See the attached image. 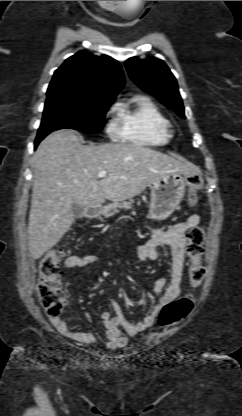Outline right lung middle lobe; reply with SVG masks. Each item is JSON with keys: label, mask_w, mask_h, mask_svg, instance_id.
<instances>
[{"label": "right lung middle lobe", "mask_w": 242, "mask_h": 416, "mask_svg": "<svg viewBox=\"0 0 242 416\" xmlns=\"http://www.w3.org/2000/svg\"><path fill=\"white\" fill-rule=\"evenodd\" d=\"M112 102L104 99L47 98L37 138L64 128L97 133L105 125V114Z\"/></svg>", "instance_id": "obj_1"}]
</instances>
